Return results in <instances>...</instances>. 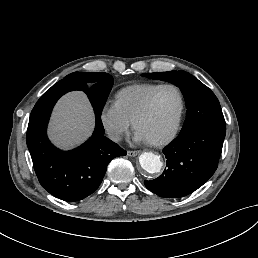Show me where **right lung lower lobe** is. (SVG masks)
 Segmentation results:
<instances>
[{"mask_svg":"<svg viewBox=\"0 0 258 258\" xmlns=\"http://www.w3.org/2000/svg\"><path fill=\"white\" fill-rule=\"evenodd\" d=\"M97 85L99 82L64 78L41 96L30 114L26 140L38 180L46 191L67 202L92 194L101 184L109 162L126 155L125 150L104 136L98 114L93 135L76 149L59 150L47 137V124L57 100L69 91L81 90L92 103Z\"/></svg>","mask_w":258,"mask_h":258,"instance_id":"98d812e1","label":"right lung lower lobe"}]
</instances>
